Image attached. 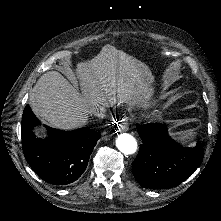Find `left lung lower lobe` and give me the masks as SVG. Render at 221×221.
<instances>
[{
  "mask_svg": "<svg viewBox=\"0 0 221 221\" xmlns=\"http://www.w3.org/2000/svg\"><path fill=\"white\" fill-rule=\"evenodd\" d=\"M136 127L143 144L132 163V172L142 187H175L200 166L203 159L200 142L193 148H183L168 135L167 127L163 124H137Z\"/></svg>",
  "mask_w": 221,
  "mask_h": 221,
  "instance_id": "1",
  "label": "left lung lower lobe"
}]
</instances>
